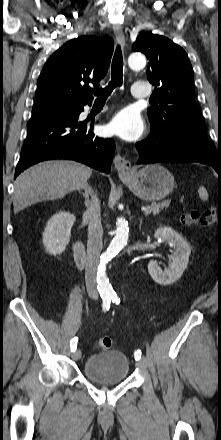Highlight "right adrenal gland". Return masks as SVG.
Listing matches in <instances>:
<instances>
[{
    "instance_id": "1",
    "label": "right adrenal gland",
    "mask_w": 221,
    "mask_h": 440,
    "mask_svg": "<svg viewBox=\"0 0 221 440\" xmlns=\"http://www.w3.org/2000/svg\"><path fill=\"white\" fill-rule=\"evenodd\" d=\"M83 189H84V192L79 190V193H81L85 199V201H84L85 206H88L89 205V196L90 195L92 196L93 190L89 184H86Z\"/></svg>"
}]
</instances>
